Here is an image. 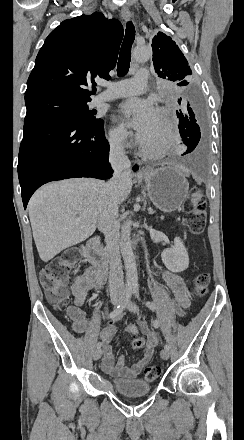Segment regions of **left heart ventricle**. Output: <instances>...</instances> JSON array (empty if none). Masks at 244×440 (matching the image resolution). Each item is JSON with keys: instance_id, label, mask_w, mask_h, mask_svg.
I'll use <instances>...</instances> for the list:
<instances>
[{"instance_id": "obj_1", "label": "left heart ventricle", "mask_w": 244, "mask_h": 440, "mask_svg": "<svg viewBox=\"0 0 244 440\" xmlns=\"http://www.w3.org/2000/svg\"><path fill=\"white\" fill-rule=\"evenodd\" d=\"M167 124L163 114L156 113L154 121L150 126L148 132L145 134L147 139L157 141L165 135Z\"/></svg>"}]
</instances>
